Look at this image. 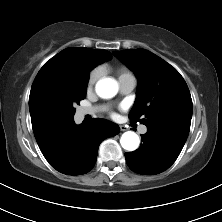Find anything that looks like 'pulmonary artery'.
I'll list each match as a JSON object with an SVG mask.
<instances>
[{
	"label": "pulmonary artery",
	"mask_w": 222,
	"mask_h": 222,
	"mask_svg": "<svg viewBox=\"0 0 222 222\" xmlns=\"http://www.w3.org/2000/svg\"><path fill=\"white\" fill-rule=\"evenodd\" d=\"M136 86V80L132 77H126L119 80V90L121 94H129L133 91ZM97 111V108H82L79 110L80 116H85L88 114H94ZM139 132L144 134L147 132V127L145 125H141L139 127Z\"/></svg>",
	"instance_id": "obj_1"
}]
</instances>
